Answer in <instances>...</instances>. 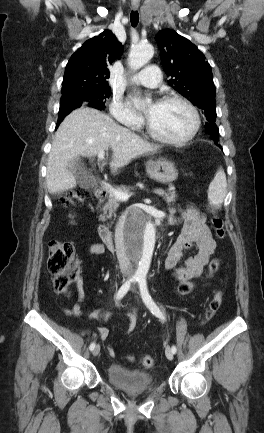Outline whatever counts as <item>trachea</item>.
I'll use <instances>...</instances> for the list:
<instances>
[{
	"label": "trachea",
	"mask_w": 264,
	"mask_h": 433,
	"mask_svg": "<svg viewBox=\"0 0 264 433\" xmlns=\"http://www.w3.org/2000/svg\"><path fill=\"white\" fill-rule=\"evenodd\" d=\"M130 21H131V25L133 27H136L138 22H139V14L138 11H131V15H130Z\"/></svg>",
	"instance_id": "3493384b"
}]
</instances>
